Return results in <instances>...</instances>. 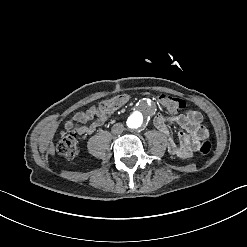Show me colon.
<instances>
[{
    "instance_id": "5ec220e1",
    "label": "colon",
    "mask_w": 247,
    "mask_h": 247,
    "mask_svg": "<svg viewBox=\"0 0 247 247\" xmlns=\"http://www.w3.org/2000/svg\"><path fill=\"white\" fill-rule=\"evenodd\" d=\"M158 99L164 107L174 112H181L184 109V102L176 97H168L165 92L158 94ZM128 100L127 92H115L114 96H107L102 103V108L105 109L104 113L110 115L111 109H117L118 105H122L124 101ZM58 152L66 158H73L78 152L77 137L73 133H65L62 135L58 143ZM201 154L208 155L213 150V144L210 139L203 141L199 147Z\"/></svg>"
}]
</instances>
